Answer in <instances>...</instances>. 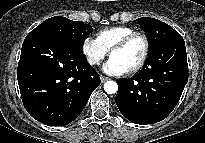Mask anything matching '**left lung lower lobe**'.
<instances>
[{
  "instance_id": "left-lung-lower-lobe-1",
  "label": "left lung lower lobe",
  "mask_w": 205,
  "mask_h": 143,
  "mask_svg": "<svg viewBox=\"0 0 205 143\" xmlns=\"http://www.w3.org/2000/svg\"><path fill=\"white\" fill-rule=\"evenodd\" d=\"M153 54L160 56L153 67L142 69L132 78L116 80V105L124 117L136 124L165 119L177 105L188 81L186 47L180 34L165 40Z\"/></svg>"
}]
</instances>
